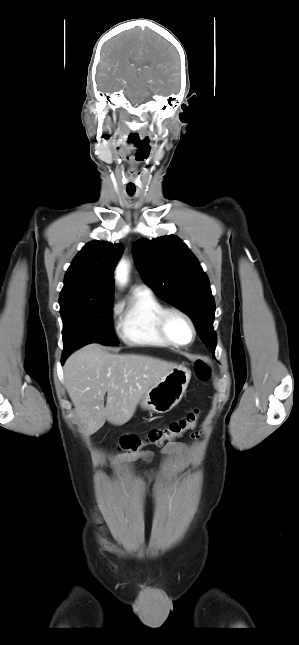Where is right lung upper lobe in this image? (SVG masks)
Returning a JSON list of instances; mask_svg holds the SVG:
<instances>
[{"instance_id": "right-lung-upper-lobe-1", "label": "right lung upper lobe", "mask_w": 299, "mask_h": 645, "mask_svg": "<svg viewBox=\"0 0 299 645\" xmlns=\"http://www.w3.org/2000/svg\"><path fill=\"white\" fill-rule=\"evenodd\" d=\"M122 243H87L66 271L59 303L68 300L113 297V271L123 253Z\"/></svg>"}]
</instances>
